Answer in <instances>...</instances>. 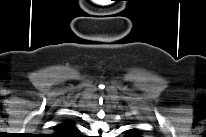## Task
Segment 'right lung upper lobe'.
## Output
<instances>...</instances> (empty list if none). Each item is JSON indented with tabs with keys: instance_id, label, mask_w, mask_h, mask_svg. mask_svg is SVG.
Instances as JSON below:
<instances>
[{
	"instance_id": "1",
	"label": "right lung upper lobe",
	"mask_w": 206,
	"mask_h": 137,
	"mask_svg": "<svg viewBox=\"0 0 206 137\" xmlns=\"http://www.w3.org/2000/svg\"><path fill=\"white\" fill-rule=\"evenodd\" d=\"M57 136L68 137L78 133V129L75 127L74 122L67 120L54 128Z\"/></svg>"
}]
</instances>
